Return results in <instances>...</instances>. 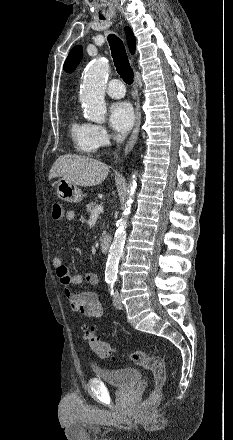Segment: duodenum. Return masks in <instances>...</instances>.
I'll list each match as a JSON object with an SVG mask.
<instances>
[{
    "instance_id": "obj_1",
    "label": "duodenum",
    "mask_w": 233,
    "mask_h": 440,
    "mask_svg": "<svg viewBox=\"0 0 233 440\" xmlns=\"http://www.w3.org/2000/svg\"><path fill=\"white\" fill-rule=\"evenodd\" d=\"M112 238L110 236H104L100 238L99 245L103 252H107L111 246Z\"/></svg>"
}]
</instances>
